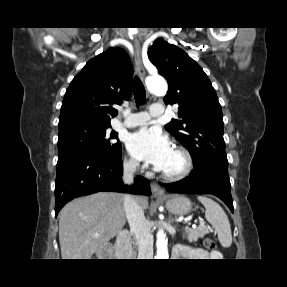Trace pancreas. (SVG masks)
<instances>
[{"instance_id": "obj_1", "label": "pancreas", "mask_w": 287, "mask_h": 287, "mask_svg": "<svg viewBox=\"0 0 287 287\" xmlns=\"http://www.w3.org/2000/svg\"><path fill=\"white\" fill-rule=\"evenodd\" d=\"M187 239L189 242H196L199 238H203L208 233V227L199 226L196 228H185Z\"/></svg>"}]
</instances>
